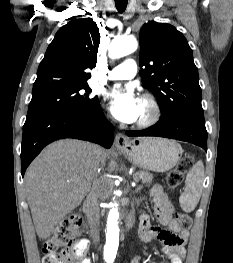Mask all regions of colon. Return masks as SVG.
<instances>
[{"label": "colon", "instance_id": "colon-1", "mask_svg": "<svg viewBox=\"0 0 233 263\" xmlns=\"http://www.w3.org/2000/svg\"><path fill=\"white\" fill-rule=\"evenodd\" d=\"M194 156L186 154L166 178L167 187L174 190L182 181L184 174L192 167ZM176 220L183 229H189L192 220L189 215L178 212ZM82 218L74 213L59 223L56 230L44 241L42 246L43 263H79L83 249L79 236Z\"/></svg>", "mask_w": 233, "mask_h": 263}]
</instances>
